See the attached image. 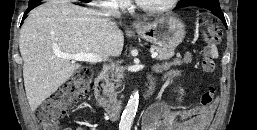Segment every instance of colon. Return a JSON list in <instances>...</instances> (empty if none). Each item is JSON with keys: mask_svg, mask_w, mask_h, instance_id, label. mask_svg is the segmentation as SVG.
<instances>
[{"mask_svg": "<svg viewBox=\"0 0 257 130\" xmlns=\"http://www.w3.org/2000/svg\"><path fill=\"white\" fill-rule=\"evenodd\" d=\"M212 43L220 41L221 33L215 26L209 27ZM205 73H213L216 68L211 46H207L201 61ZM93 74L90 69L79 70L73 77L58 88L49 99L35 110V119L43 130H59L60 120L73 104L85 95L92 87ZM215 96V87L209 86L200 97L202 107H210ZM62 130H70L64 128Z\"/></svg>", "mask_w": 257, "mask_h": 130, "instance_id": "5ec220e1", "label": "colon"}]
</instances>
